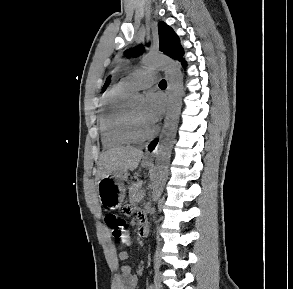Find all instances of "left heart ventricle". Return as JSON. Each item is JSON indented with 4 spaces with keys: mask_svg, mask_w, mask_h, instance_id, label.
<instances>
[{
    "mask_svg": "<svg viewBox=\"0 0 293 289\" xmlns=\"http://www.w3.org/2000/svg\"><path fill=\"white\" fill-rule=\"evenodd\" d=\"M130 112L132 115V118L135 123V127L137 130V133L141 136H145L150 133L153 126L146 123V121L143 118V107L141 104L132 105L129 107Z\"/></svg>",
    "mask_w": 293,
    "mask_h": 289,
    "instance_id": "obj_1",
    "label": "left heart ventricle"
}]
</instances>
